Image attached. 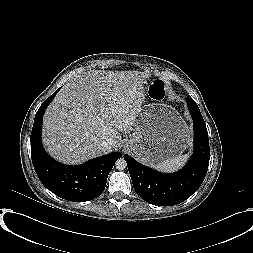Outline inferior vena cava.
<instances>
[{"label": "inferior vena cava", "mask_w": 253, "mask_h": 253, "mask_svg": "<svg viewBox=\"0 0 253 253\" xmlns=\"http://www.w3.org/2000/svg\"><path fill=\"white\" fill-rule=\"evenodd\" d=\"M114 141L111 138H105L102 141V146L108 148L109 146L113 145Z\"/></svg>", "instance_id": "obj_1"}]
</instances>
